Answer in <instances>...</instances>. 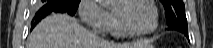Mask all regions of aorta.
<instances>
[{
  "label": "aorta",
  "instance_id": "obj_1",
  "mask_svg": "<svg viewBox=\"0 0 213 48\" xmlns=\"http://www.w3.org/2000/svg\"><path fill=\"white\" fill-rule=\"evenodd\" d=\"M114 0H99V2L102 4V5H108V4H111Z\"/></svg>",
  "mask_w": 213,
  "mask_h": 48
}]
</instances>
